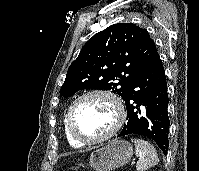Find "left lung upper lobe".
Masks as SVG:
<instances>
[{
	"label": "left lung upper lobe",
	"mask_w": 199,
	"mask_h": 171,
	"mask_svg": "<svg viewBox=\"0 0 199 171\" xmlns=\"http://www.w3.org/2000/svg\"><path fill=\"white\" fill-rule=\"evenodd\" d=\"M149 33L133 23L113 24L95 34L68 69L60 94L82 89L112 90L125 97L131 84L156 54Z\"/></svg>",
	"instance_id": "obj_1"
}]
</instances>
